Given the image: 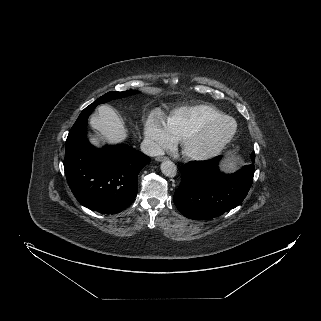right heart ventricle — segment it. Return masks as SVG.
<instances>
[{"mask_svg":"<svg viewBox=\"0 0 321 321\" xmlns=\"http://www.w3.org/2000/svg\"><path fill=\"white\" fill-rule=\"evenodd\" d=\"M223 115L222 111L211 104L182 106L173 109L165 118L164 124L174 139L181 140L201 123Z\"/></svg>","mask_w":321,"mask_h":321,"instance_id":"e07e8e85","label":"right heart ventricle"}]
</instances>
